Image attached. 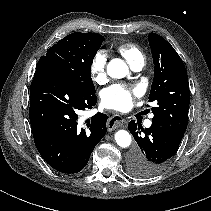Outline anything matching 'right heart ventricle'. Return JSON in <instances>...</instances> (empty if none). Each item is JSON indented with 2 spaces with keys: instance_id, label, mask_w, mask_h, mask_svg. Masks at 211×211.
Returning <instances> with one entry per match:
<instances>
[{
  "instance_id": "right-heart-ventricle-1",
  "label": "right heart ventricle",
  "mask_w": 211,
  "mask_h": 211,
  "mask_svg": "<svg viewBox=\"0 0 211 211\" xmlns=\"http://www.w3.org/2000/svg\"><path fill=\"white\" fill-rule=\"evenodd\" d=\"M117 51L128 61L131 67L138 63H144L145 57L142 50L132 43L120 44Z\"/></svg>"
}]
</instances>
